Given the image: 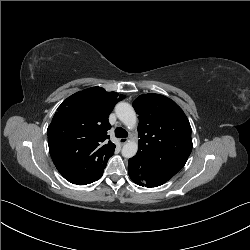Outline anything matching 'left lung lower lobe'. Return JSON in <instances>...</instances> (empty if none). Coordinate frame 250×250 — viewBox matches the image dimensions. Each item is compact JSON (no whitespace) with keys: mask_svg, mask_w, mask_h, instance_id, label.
<instances>
[{"mask_svg":"<svg viewBox=\"0 0 250 250\" xmlns=\"http://www.w3.org/2000/svg\"><path fill=\"white\" fill-rule=\"evenodd\" d=\"M178 171L175 168L153 163L138 151L128 161V173L134 183L140 186L157 187L172 178Z\"/></svg>","mask_w":250,"mask_h":250,"instance_id":"obj_1","label":"left lung lower lobe"}]
</instances>
